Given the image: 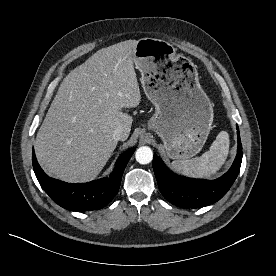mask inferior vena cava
Here are the masks:
<instances>
[{
    "mask_svg": "<svg viewBox=\"0 0 276 276\" xmlns=\"http://www.w3.org/2000/svg\"><path fill=\"white\" fill-rule=\"evenodd\" d=\"M126 136H127V134L124 131L122 126H118L113 132V138L117 141L124 140L126 138Z\"/></svg>",
    "mask_w": 276,
    "mask_h": 276,
    "instance_id": "obj_1",
    "label": "inferior vena cava"
}]
</instances>
